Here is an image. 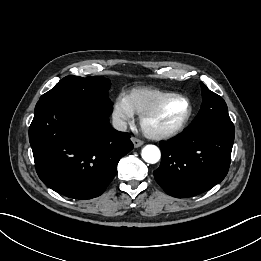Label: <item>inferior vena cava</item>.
<instances>
[{"label":"inferior vena cava","instance_id":"inferior-vena-cava-1","mask_svg":"<svg viewBox=\"0 0 261 261\" xmlns=\"http://www.w3.org/2000/svg\"><path fill=\"white\" fill-rule=\"evenodd\" d=\"M112 124L114 129L118 131H126L127 129V123L117 116L113 117Z\"/></svg>","mask_w":261,"mask_h":261}]
</instances>
